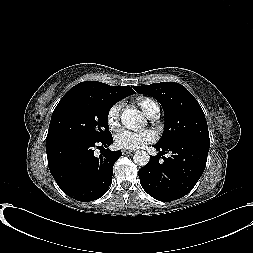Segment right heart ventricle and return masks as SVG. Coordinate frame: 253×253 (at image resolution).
<instances>
[{"instance_id": "right-heart-ventricle-1", "label": "right heart ventricle", "mask_w": 253, "mask_h": 253, "mask_svg": "<svg viewBox=\"0 0 253 253\" xmlns=\"http://www.w3.org/2000/svg\"><path fill=\"white\" fill-rule=\"evenodd\" d=\"M137 104L139 108L142 110V112L149 116L152 112L153 108L157 105V103L151 99L145 98L137 101Z\"/></svg>"}]
</instances>
